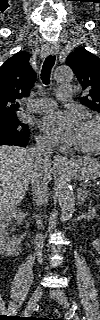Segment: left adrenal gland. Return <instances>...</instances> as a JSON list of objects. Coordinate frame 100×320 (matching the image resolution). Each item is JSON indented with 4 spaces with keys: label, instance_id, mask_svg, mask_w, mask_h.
<instances>
[{
    "label": "left adrenal gland",
    "instance_id": "a2214340",
    "mask_svg": "<svg viewBox=\"0 0 100 320\" xmlns=\"http://www.w3.org/2000/svg\"><path fill=\"white\" fill-rule=\"evenodd\" d=\"M77 197H78V200L82 203V204H84V202H85V199L88 197V195H89V192L87 191V190H83L81 187H79L78 189H77Z\"/></svg>",
    "mask_w": 100,
    "mask_h": 320
}]
</instances>
